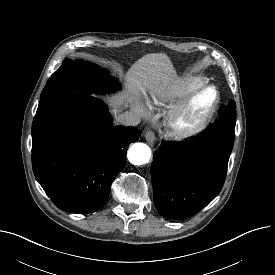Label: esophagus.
Segmentation results:
<instances>
[{
    "instance_id": "obj_1",
    "label": "esophagus",
    "mask_w": 275,
    "mask_h": 275,
    "mask_svg": "<svg viewBox=\"0 0 275 275\" xmlns=\"http://www.w3.org/2000/svg\"><path fill=\"white\" fill-rule=\"evenodd\" d=\"M144 136H145L146 141L150 145L154 144L156 137H155V133L153 131H151V130L146 131Z\"/></svg>"
}]
</instances>
